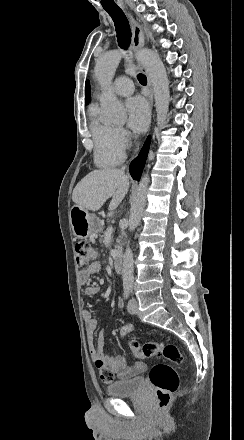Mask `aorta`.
Here are the masks:
<instances>
[{
	"label": "aorta",
	"instance_id": "762f6f07",
	"mask_svg": "<svg viewBox=\"0 0 244 440\" xmlns=\"http://www.w3.org/2000/svg\"><path fill=\"white\" fill-rule=\"evenodd\" d=\"M122 58L120 51L108 52L97 60L95 75L102 86L100 104L104 119L110 123H123L126 112L123 104L113 93L111 85ZM137 59L144 65L153 86L157 125L164 127L169 110V81L164 64L159 55L149 49H142L137 53ZM149 185V176L145 174L134 193L129 216V231L133 232L138 226L146 204V195ZM133 252L127 247L123 255L122 279L124 286H132L134 282Z\"/></svg>",
	"mask_w": 244,
	"mask_h": 440
}]
</instances>
